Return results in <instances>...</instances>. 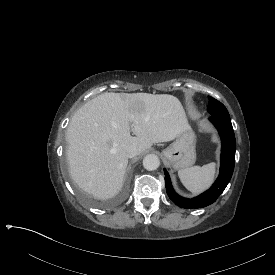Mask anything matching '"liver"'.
Masks as SVG:
<instances>
[{
  "label": "liver",
  "instance_id": "1",
  "mask_svg": "<svg viewBox=\"0 0 275 275\" xmlns=\"http://www.w3.org/2000/svg\"><path fill=\"white\" fill-rule=\"evenodd\" d=\"M188 127L185 111L172 95H98L77 110L67 128L71 178L95 199L111 198L123 186L127 145L142 153L153 143L175 139Z\"/></svg>",
  "mask_w": 275,
  "mask_h": 275
}]
</instances>
